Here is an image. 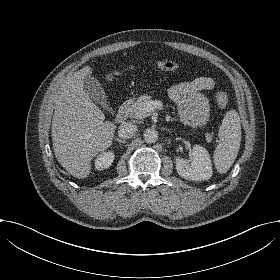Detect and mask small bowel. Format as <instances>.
<instances>
[{
    "label": "small bowel",
    "instance_id": "obj_1",
    "mask_svg": "<svg viewBox=\"0 0 280 280\" xmlns=\"http://www.w3.org/2000/svg\"><path fill=\"white\" fill-rule=\"evenodd\" d=\"M214 88V79L202 76L168 89V95L177 104L178 114L185 125L197 126L208 120L209 104L203 92Z\"/></svg>",
    "mask_w": 280,
    "mask_h": 280
}]
</instances>
